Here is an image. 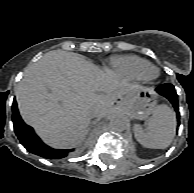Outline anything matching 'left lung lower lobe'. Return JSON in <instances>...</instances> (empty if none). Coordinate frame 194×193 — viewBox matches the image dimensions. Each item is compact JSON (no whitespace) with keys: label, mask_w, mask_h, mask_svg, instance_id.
Returning <instances> with one entry per match:
<instances>
[{"label":"left lung lower lobe","mask_w":194,"mask_h":193,"mask_svg":"<svg viewBox=\"0 0 194 193\" xmlns=\"http://www.w3.org/2000/svg\"><path fill=\"white\" fill-rule=\"evenodd\" d=\"M156 91L172 103L177 115L179 116V106L174 86L172 84H162L156 88Z\"/></svg>","instance_id":"obj_1"}]
</instances>
